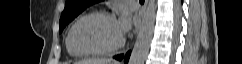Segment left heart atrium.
Instances as JSON below:
<instances>
[{
    "label": "left heart atrium",
    "instance_id": "left-heart-atrium-1",
    "mask_svg": "<svg viewBox=\"0 0 242 64\" xmlns=\"http://www.w3.org/2000/svg\"><path fill=\"white\" fill-rule=\"evenodd\" d=\"M116 26L122 37L129 32L131 28V17L126 11L120 14L116 20Z\"/></svg>",
    "mask_w": 242,
    "mask_h": 64
}]
</instances>
